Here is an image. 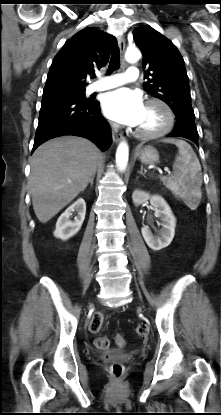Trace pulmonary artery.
Wrapping results in <instances>:
<instances>
[{
  "label": "pulmonary artery",
  "mask_w": 221,
  "mask_h": 415,
  "mask_svg": "<svg viewBox=\"0 0 221 415\" xmlns=\"http://www.w3.org/2000/svg\"><path fill=\"white\" fill-rule=\"evenodd\" d=\"M138 76V69L134 66H131L125 71V73H118L102 77L99 81L90 85L89 92L93 93L116 88L125 83L137 80Z\"/></svg>",
  "instance_id": "obj_1"
}]
</instances>
